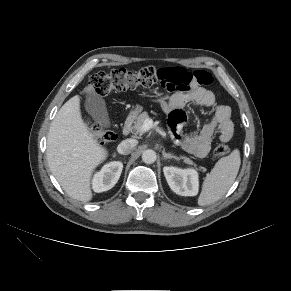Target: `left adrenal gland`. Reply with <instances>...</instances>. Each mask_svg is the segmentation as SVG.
<instances>
[{
    "label": "left adrenal gland",
    "mask_w": 291,
    "mask_h": 291,
    "mask_svg": "<svg viewBox=\"0 0 291 291\" xmlns=\"http://www.w3.org/2000/svg\"><path fill=\"white\" fill-rule=\"evenodd\" d=\"M162 155L164 157V159H175V160H179V158L171 153H166L165 150L162 151Z\"/></svg>",
    "instance_id": "obj_1"
}]
</instances>
